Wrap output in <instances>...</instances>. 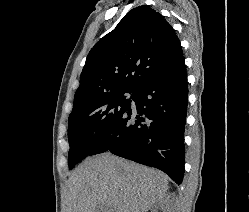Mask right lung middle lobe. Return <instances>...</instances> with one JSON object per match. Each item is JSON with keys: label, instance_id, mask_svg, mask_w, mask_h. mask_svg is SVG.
<instances>
[{"label": "right lung middle lobe", "instance_id": "1", "mask_svg": "<svg viewBox=\"0 0 249 212\" xmlns=\"http://www.w3.org/2000/svg\"><path fill=\"white\" fill-rule=\"evenodd\" d=\"M126 93H131L132 99L133 92H117L73 108L68 120L69 169L95 154L107 133L130 107L131 100L126 98Z\"/></svg>", "mask_w": 249, "mask_h": 212}]
</instances>
